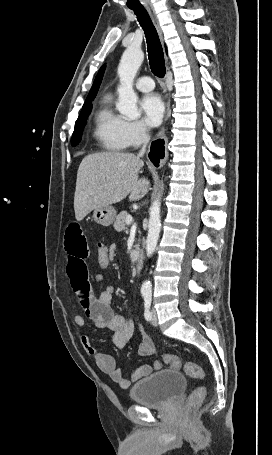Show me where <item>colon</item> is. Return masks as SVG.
<instances>
[{
  "instance_id": "5ec220e1",
  "label": "colon",
  "mask_w": 272,
  "mask_h": 455,
  "mask_svg": "<svg viewBox=\"0 0 272 455\" xmlns=\"http://www.w3.org/2000/svg\"><path fill=\"white\" fill-rule=\"evenodd\" d=\"M111 262L108 246L100 242L98 244V267L100 272L96 275L97 281L103 280V273L108 269L109 264ZM165 361L170 365L171 368L179 370L183 369L184 372L196 380H204L205 372L204 370L197 364L193 362H185L183 363L178 356L175 355H166ZM205 395V388L203 386H199L194 389L190 396L188 397L187 404H186V412L192 413L196 407L202 402Z\"/></svg>"
}]
</instances>
